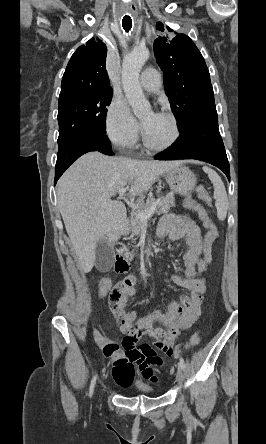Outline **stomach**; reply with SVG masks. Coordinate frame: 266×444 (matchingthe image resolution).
<instances>
[{
    "mask_svg": "<svg viewBox=\"0 0 266 444\" xmlns=\"http://www.w3.org/2000/svg\"><path fill=\"white\" fill-rule=\"evenodd\" d=\"M164 178L171 190L181 195H186L196 186V176L188 167L182 164L165 172Z\"/></svg>",
    "mask_w": 266,
    "mask_h": 444,
    "instance_id": "obj_1",
    "label": "stomach"
}]
</instances>
